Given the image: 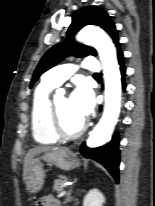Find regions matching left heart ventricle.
Masks as SVG:
<instances>
[{"mask_svg": "<svg viewBox=\"0 0 155 206\" xmlns=\"http://www.w3.org/2000/svg\"><path fill=\"white\" fill-rule=\"evenodd\" d=\"M62 126L67 131L77 129L83 122L73 111L69 98L60 96L55 99Z\"/></svg>", "mask_w": 155, "mask_h": 206, "instance_id": "b2bd125f", "label": "left heart ventricle"}]
</instances>
